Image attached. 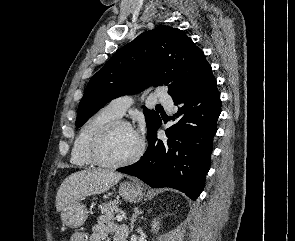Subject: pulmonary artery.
<instances>
[{
    "label": "pulmonary artery",
    "instance_id": "e3ab8cb5",
    "mask_svg": "<svg viewBox=\"0 0 295 241\" xmlns=\"http://www.w3.org/2000/svg\"><path fill=\"white\" fill-rule=\"evenodd\" d=\"M157 100L162 103L169 110H173V100L166 91L158 89L156 92ZM134 97L131 95H124L112 99L106 106L111 112L117 116H122L125 111L133 104Z\"/></svg>",
    "mask_w": 295,
    "mask_h": 241
}]
</instances>
